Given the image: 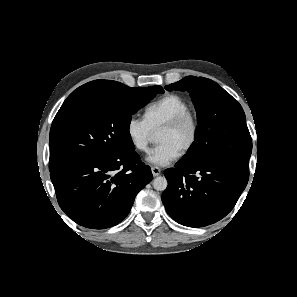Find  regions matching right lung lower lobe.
I'll list each match as a JSON object with an SVG mask.
<instances>
[{"label":"right lung lower lobe","instance_id":"98d812e1","mask_svg":"<svg viewBox=\"0 0 297 297\" xmlns=\"http://www.w3.org/2000/svg\"><path fill=\"white\" fill-rule=\"evenodd\" d=\"M61 209L77 224L104 229L120 223L151 180L135 151L74 159L50 172Z\"/></svg>","mask_w":297,"mask_h":297}]
</instances>
